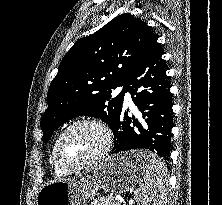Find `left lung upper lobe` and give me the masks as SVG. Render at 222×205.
I'll use <instances>...</instances> for the list:
<instances>
[{"instance_id": "obj_1", "label": "left lung upper lobe", "mask_w": 222, "mask_h": 205, "mask_svg": "<svg viewBox=\"0 0 222 205\" xmlns=\"http://www.w3.org/2000/svg\"><path fill=\"white\" fill-rule=\"evenodd\" d=\"M151 34L146 22L125 13L79 39L62 59L48 90V108L41 119L43 142L76 116L98 117L112 129L124 96L122 90L112 97V90L125 84ZM167 154L168 150L160 155Z\"/></svg>"}]
</instances>
